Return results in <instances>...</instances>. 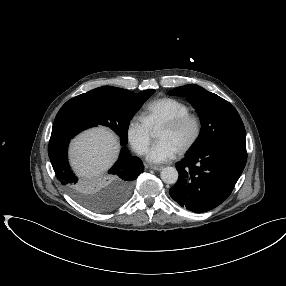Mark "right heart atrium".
Wrapping results in <instances>:
<instances>
[{"mask_svg": "<svg viewBox=\"0 0 286 286\" xmlns=\"http://www.w3.org/2000/svg\"><path fill=\"white\" fill-rule=\"evenodd\" d=\"M153 129L142 115L133 116L126 128L127 140L131 148L138 154L144 155L150 146Z\"/></svg>", "mask_w": 286, "mask_h": 286, "instance_id": "obj_1", "label": "right heart atrium"}]
</instances>
